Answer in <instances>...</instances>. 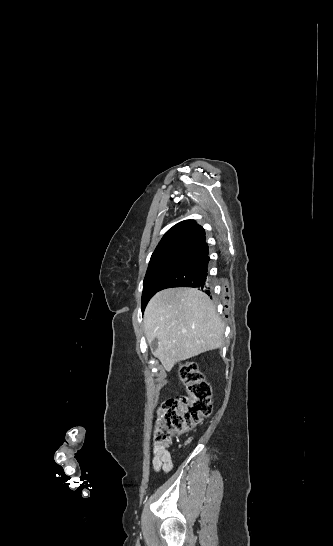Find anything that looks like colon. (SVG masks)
<instances>
[{
  "label": "colon",
  "instance_id": "colon-1",
  "mask_svg": "<svg viewBox=\"0 0 333 546\" xmlns=\"http://www.w3.org/2000/svg\"><path fill=\"white\" fill-rule=\"evenodd\" d=\"M187 396L167 399L158 413L154 443L167 447L173 434H183L200 425L212 412L211 388L193 362L178 365Z\"/></svg>",
  "mask_w": 333,
  "mask_h": 546
}]
</instances>
